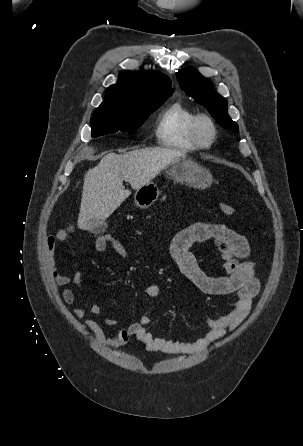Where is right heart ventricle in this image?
Here are the masks:
<instances>
[{"label": "right heart ventricle", "instance_id": "1", "mask_svg": "<svg viewBox=\"0 0 303 446\" xmlns=\"http://www.w3.org/2000/svg\"><path fill=\"white\" fill-rule=\"evenodd\" d=\"M195 116L192 109L180 101L169 104L158 116L155 137L165 148L180 151H196L199 147L190 135V124Z\"/></svg>", "mask_w": 303, "mask_h": 446}]
</instances>
